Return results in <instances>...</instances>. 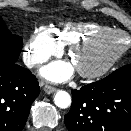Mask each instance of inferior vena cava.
Masks as SVG:
<instances>
[{
	"instance_id": "1",
	"label": "inferior vena cava",
	"mask_w": 131,
	"mask_h": 131,
	"mask_svg": "<svg viewBox=\"0 0 131 131\" xmlns=\"http://www.w3.org/2000/svg\"><path fill=\"white\" fill-rule=\"evenodd\" d=\"M23 60L25 65L30 68L33 67L35 64L43 63L46 61L44 57H36L31 55H25Z\"/></svg>"
}]
</instances>
